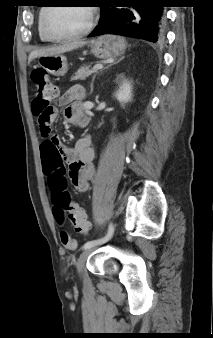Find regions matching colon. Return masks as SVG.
Returning a JSON list of instances; mask_svg holds the SVG:
<instances>
[{
	"instance_id": "colon-1",
	"label": "colon",
	"mask_w": 213,
	"mask_h": 338,
	"mask_svg": "<svg viewBox=\"0 0 213 338\" xmlns=\"http://www.w3.org/2000/svg\"><path fill=\"white\" fill-rule=\"evenodd\" d=\"M31 79L34 84L32 111L38 119L41 135L47 138L50 132L48 123L54 116L53 100L58 92L57 86L44 70L33 71ZM60 144L59 137L54 136L51 139L45 140L42 149L46 153H51L54 147ZM52 201L57 213L67 214L76 232L87 233L89 231L90 223L87 221L85 212L72 201L71 196L65 191L64 183L57 185L56 191L52 196ZM60 240L67 250H74L76 248V241L67 232L62 231L60 233Z\"/></svg>"
}]
</instances>
